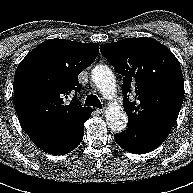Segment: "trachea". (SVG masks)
<instances>
[{
	"mask_svg": "<svg viewBox=\"0 0 193 193\" xmlns=\"http://www.w3.org/2000/svg\"><path fill=\"white\" fill-rule=\"evenodd\" d=\"M85 105L87 106H93V107H97V108H102L100 101L98 99V97L96 95H89L85 101Z\"/></svg>",
	"mask_w": 193,
	"mask_h": 193,
	"instance_id": "trachea-1",
	"label": "trachea"
}]
</instances>
